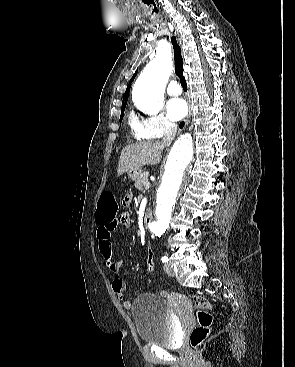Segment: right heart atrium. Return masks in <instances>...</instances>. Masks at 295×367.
Returning <instances> with one entry per match:
<instances>
[{
    "label": "right heart atrium",
    "instance_id": "obj_1",
    "mask_svg": "<svg viewBox=\"0 0 295 367\" xmlns=\"http://www.w3.org/2000/svg\"><path fill=\"white\" fill-rule=\"evenodd\" d=\"M132 128L135 136L142 139L160 138L176 131V125L160 111L136 119Z\"/></svg>",
    "mask_w": 295,
    "mask_h": 367
}]
</instances>
